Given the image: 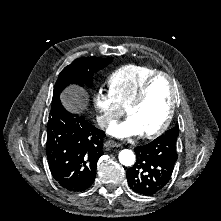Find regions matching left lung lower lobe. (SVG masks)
<instances>
[{"label":"left lung lower lobe","instance_id":"obj_1","mask_svg":"<svg viewBox=\"0 0 221 221\" xmlns=\"http://www.w3.org/2000/svg\"><path fill=\"white\" fill-rule=\"evenodd\" d=\"M136 163L128 169L130 188L142 195H153L169 182L177 160V139L159 136L136 147Z\"/></svg>","mask_w":221,"mask_h":221}]
</instances>
